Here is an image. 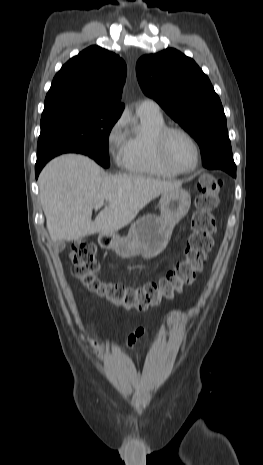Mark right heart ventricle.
Listing matches in <instances>:
<instances>
[{
  "mask_svg": "<svg viewBox=\"0 0 263 465\" xmlns=\"http://www.w3.org/2000/svg\"><path fill=\"white\" fill-rule=\"evenodd\" d=\"M138 122L129 130L125 139L124 168L139 175L174 177L159 160L156 137L167 127L161 114L138 112Z\"/></svg>",
  "mask_w": 263,
  "mask_h": 465,
  "instance_id": "obj_1",
  "label": "right heart ventricle"
}]
</instances>
